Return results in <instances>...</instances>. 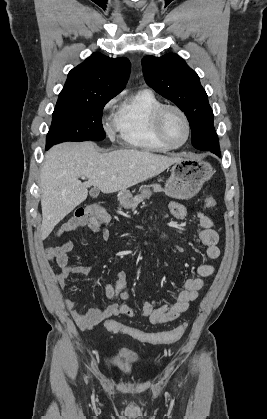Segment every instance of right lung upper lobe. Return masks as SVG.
Returning a JSON list of instances; mask_svg holds the SVG:
<instances>
[{
    "instance_id": "cb5924a9",
    "label": "right lung upper lobe",
    "mask_w": 267,
    "mask_h": 419,
    "mask_svg": "<svg viewBox=\"0 0 267 419\" xmlns=\"http://www.w3.org/2000/svg\"><path fill=\"white\" fill-rule=\"evenodd\" d=\"M130 66L125 57L113 59L94 53L69 72L59 97L116 96L126 86Z\"/></svg>"
}]
</instances>
